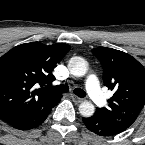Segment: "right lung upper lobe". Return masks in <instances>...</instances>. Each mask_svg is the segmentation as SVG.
<instances>
[{
  "instance_id": "obj_1",
  "label": "right lung upper lobe",
  "mask_w": 145,
  "mask_h": 145,
  "mask_svg": "<svg viewBox=\"0 0 145 145\" xmlns=\"http://www.w3.org/2000/svg\"><path fill=\"white\" fill-rule=\"evenodd\" d=\"M69 50L63 43L47 46L30 42L4 54L0 58V118L7 121L39 110L59 97L44 86L55 80L51 72Z\"/></svg>"
}]
</instances>
